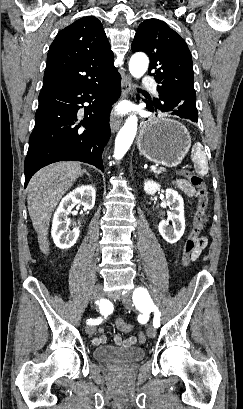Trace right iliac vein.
<instances>
[{
  "label": "right iliac vein",
  "mask_w": 243,
  "mask_h": 409,
  "mask_svg": "<svg viewBox=\"0 0 243 409\" xmlns=\"http://www.w3.org/2000/svg\"><path fill=\"white\" fill-rule=\"evenodd\" d=\"M101 296H102V285L97 284L93 291V299L98 300L100 299ZM85 331L88 335H92L95 332V326L90 324L86 327Z\"/></svg>",
  "instance_id": "right-iliac-vein-1"
}]
</instances>
